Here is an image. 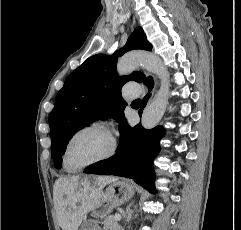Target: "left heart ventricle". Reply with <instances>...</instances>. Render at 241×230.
I'll return each instance as SVG.
<instances>
[{"label":"left heart ventricle","instance_id":"1","mask_svg":"<svg viewBox=\"0 0 241 230\" xmlns=\"http://www.w3.org/2000/svg\"><path fill=\"white\" fill-rule=\"evenodd\" d=\"M110 148L111 138L105 131L86 130L72 140L67 161L71 167H77L105 155Z\"/></svg>","mask_w":241,"mask_h":230}]
</instances>
